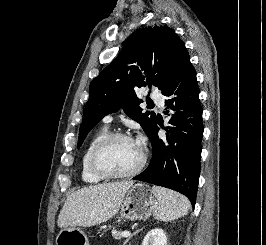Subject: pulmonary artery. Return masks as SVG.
I'll return each mask as SVG.
<instances>
[{
  "mask_svg": "<svg viewBox=\"0 0 266 245\" xmlns=\"http://www.w3.org/2000/svg\"><path fill=\"white\" fill-rule=\"evenodd\" d=\"M150 95L153 96V97H152V100H153V101H158V100H159V97L156 96V95H157V92H156V91H151V92H150ZM157 104L159 105L160 108H163V106H164L163 99H160V100L157 102ZM111 121H112V117H111L110 115H107V116H105V117L103 118V122H104L105 124H109Z\"/></svg>",
  "mask_w": 266,
  "mask_h": 245,
  "instance_id": "pulmonary-artery-1",
  "label": "pulmonary artery"
}]
</instances>
